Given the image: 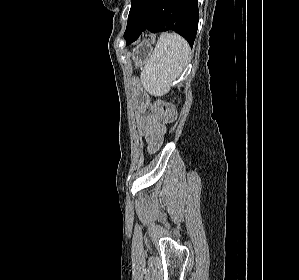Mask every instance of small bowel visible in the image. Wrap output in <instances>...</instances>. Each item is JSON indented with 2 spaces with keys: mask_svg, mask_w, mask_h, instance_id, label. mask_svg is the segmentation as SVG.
Returning <instances> with one entry per match:
<instances>
[{
  "mask_svg": "<svg viewBox=\"0 0 299 280\" xmlns=\"http://www.w3.org/2000/svg\"><path fill=\"white\" fill-rule=\"evenodd\" d=\"M142 130L148 144V150L150 152L156 151L160 147L164 137V126L156 120L150 119L144 123Z\"/></svg>",
  "mask_w": 299,
  "mask_h": 280,
  "instance_id": "c3829d8e",
  "label": "small bowel"
}]
</instances>
